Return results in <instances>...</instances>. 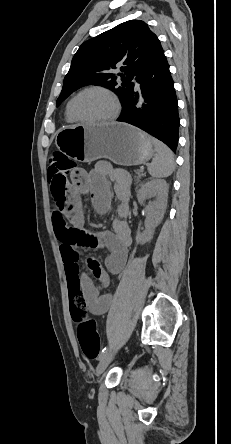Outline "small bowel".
I'll return each instance as SVG.
<instances>
[{
  "label": "small bowel",
  "mask_w": 231,
  "mask_h": 444,
  "mask_svg": "<svg viewBox=\"0 0 231 444\" xmlns=\"http://www.w3.org/2000/svg\"><path fill=\"white\" fill-rule=\"evenodd\" d=\"M71 177V181L59 186L56 196L53 193L55 184L49 180L57 203V210L52 215L53 229L60 241L68 287L73 283L78 284L89 312L102 315L108 311L112 301L110 294L102 293V288L108 285L110 275L119 274L123 269L131 244L130 229L126 222L131 180L127 174L115 171L107 163L97 164L89 173L75 171ZM110 184H113L120 202L113 228L98 234L83 229L81 194H90L94 208L104 213L111 203ZM84 248H102L107 251L104 267L95 259L87 261L88 269L101 285L96 284L79 264L80 251Z\"/></svg>",
  "instance_id": "small-bowel-1"
}]
</instances>
